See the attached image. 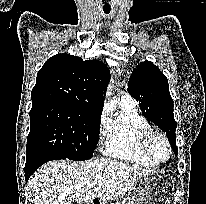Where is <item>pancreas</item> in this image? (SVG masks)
I'll list each match as a JSON object with an SVG mask.
<instances>
[{
    "label": "pancreas",
    "instance_id": "obj_1",
    "mask_svg": "<svg viewBox=\"0 0 206 204\" xmlns=\"http://www.w3.org/2000/svg\"><path fill=\"white\" fill-rule=\"evenodd\" d=\"M112 204H121V203L117 202V203H112Z\"/></svg>",
    "mask_w": 206,
    "mask_h": 204
}]
</instances>
